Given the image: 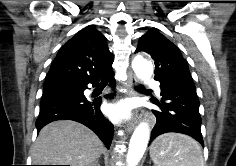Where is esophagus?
Listing matches in <instances>:
<instances>
[{
	"label": "esophagus",
	"instance_id": "1",
	"mask_svg": "<svg viewBox=\"0 0 236 166\" xmlns=\"http://www.w3.org/2000/svg\"><path fill=\"white\" fill-rule=\"evenodd\" d=\"M136 85H137V79H136L134 74L130 73L128 75V79H127V82H126V86H127V89H128V92H127L128 96H132V95L135 94V89L134 88H135ZM140 116H141V112L138 110L136 112V115L132 119H130L129 122L127 123V125H126V130L127 131H132L135 128L136 123H137L138 119L140 118Z\"/></svg>",
	"mask_w": 236,
	"mask_h": 166
}]
</instances>
